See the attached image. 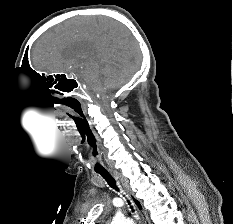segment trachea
<instances>
[{
	"mask_svg": "<svg viewBox=\"0 0 233 224\" xmlns=\"http://www.w3.org/2000/svg\"><path fill=\"white\" fill-rule=\"evenodd\" d=\"M98 174H100L108 183V185L115 189L116 191H119V188L115 182V180L111 177V175L108 172H98ZM128 204L130 205V208L132 210V212H134L133 207L131 206V203L128 201Z\"/></svg>",
	"mask_w": 233,
	"mask_h": 224,
	"instance_id": "obj_1",
	"label": "trachea"
}]
</instances>
